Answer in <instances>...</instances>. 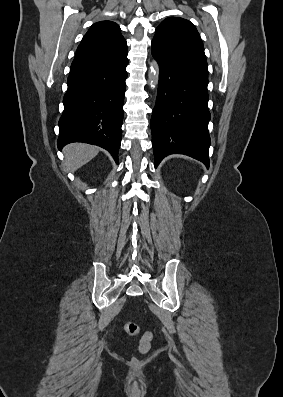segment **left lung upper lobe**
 <instances>
[{"mask_svg": "<svg viewBox=\"0 0 283 397\" xmlns=\"http://www.w3.org/2000/svg\"><path fill=\"white\" fill-rule=\"evenodd\" d=\"M152 45L208 78L203 42L195 26L183 18H167L155 30Z\"/></svg>", "mask_w": 283, "mask_h": 397, "instance_id": "obj_1", "label": "left lung upper lobe"}]
</instances>
